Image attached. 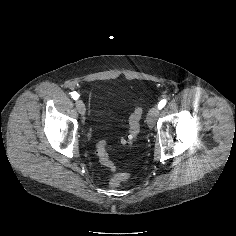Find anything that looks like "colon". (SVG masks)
Masks as SVG:
<instances>
[{"instance_id":"1","label":"colon","mask_w":236,"mask_h":236,"mask_svg":"<svg viewBox=\"0 0 236 236\" xmlns=\"http://www.w3.org/2000/svg\"><path fill=\"white\" fill-rule=\"evenodd\" d=\"M143 114V108L137 107L129 118V140L122 141V147H128L137 138L140 132V120ZM108 142L101 140L96 145V155L99 161L109 168L113 172V176L110 179V185L112 187H118L130 178L128 172H117L114 163L109 158L107 153Z\"/></svg>"}]
</instances>
